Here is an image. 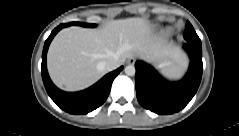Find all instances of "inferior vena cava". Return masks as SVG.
<instances>
[{
  "instance_id": "1",
  "label": "inferior vena cava",
  "mask_w": 239,
  "mask_h": 136,
  "mask_svg": "<svg viewBox=\"0 0 239 136\" xmlns=\"http://www.w3.org/2000/svg\"><path fill=\"white\" fill-rule=\"evenodd\" d=\"M121 65V61L118 58H111L104 62V68L107 71H112Z\"/></svg>"
}]
</instances>
